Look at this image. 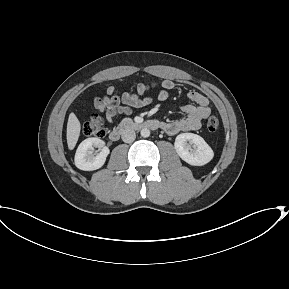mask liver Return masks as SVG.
I'll return each mask as SVG.
<instances>
[{"label":"liver","mask_w":289,"mask_h":289,"mask_svg":"<svg viewBox=\"0 0 289 289\" xmlns=\"http://www.w3.org/2000/svg\"><path fill=\"white\" fill-rule=\"evenodd\" d=\"M81 130V124L76 117V115L72 112L69 115L67 122V144L70 150L74 149Z\"/></svg>","instance_id":"1"}]
</instances>
